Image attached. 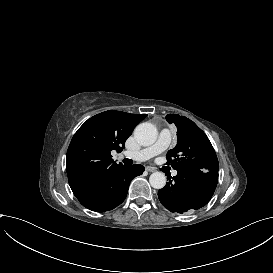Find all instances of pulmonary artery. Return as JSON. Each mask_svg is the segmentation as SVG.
Wrapping results in <instances>:
<instances>
[{"instance_id":"pulmonary-artery-1","label":"pulmonary artery","mask_w":273,"mask_h":273,"mask_svg":"<svg viewBox=\"0 0 273 273\" xmlns=\"http://www.w3.org/2000/svg\"><path fill=\"white\" fill-rule=\"evenodd\" d=\"M171 139H172V136L170 133L168 132L163 133L157 144L151 146L149 149H143V150L137 151L135 154L136 159L139 161H143V160H149L156 157L157 155L163 153L164 151L168 149ZM171 175L176 176L177 171L172 170Z\"/></svg>"}]
</instances>
